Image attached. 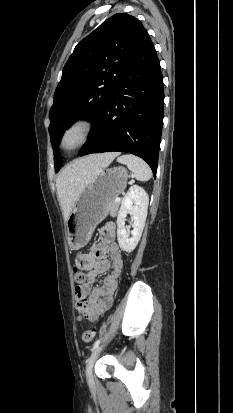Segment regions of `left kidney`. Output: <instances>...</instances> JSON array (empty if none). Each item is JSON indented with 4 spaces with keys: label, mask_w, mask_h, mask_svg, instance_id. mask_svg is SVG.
Returning <instances> with one entry per match:
<instances>
[{
    "label": "left kidney",
    "mask_w": 233,
    "mask_h": 413,
    "mask_svg": "<svg viewBox=\"0 0 233 413\" xmlns=\"http://www.w3.org/2000/svg\"><path fill=\"white\" fill-rule=\"evenodd\" d=\"M148 204V194L137 185L132 186L123 198L117 217V239L123 251L130 253L136 248L145 225ZM127 214H130L133 220L131 237L125 226Z\"/></svg>",
    "instance_id": "5707ae66"
}]
</instances>
